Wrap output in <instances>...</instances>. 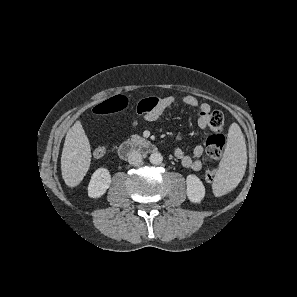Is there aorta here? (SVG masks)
I'll return each mask as SVG.
<instances>
[{
	"instance_id": "obj_1",
	"label": "aorta",
	"mask_w": 297,
	"mask_h": 297,
	"mask_svg": "<svg viewBox=\"0 0 297 297\" xmlns=\"http://www.w3.org/2000/svg\"><path fill=\"white\" fill-rule=\"evenodd\" d=\"M149 160L153 165H160L163 161V157L160 153L155 152L150 155Z\"/></svg>"
}]
</instances>
